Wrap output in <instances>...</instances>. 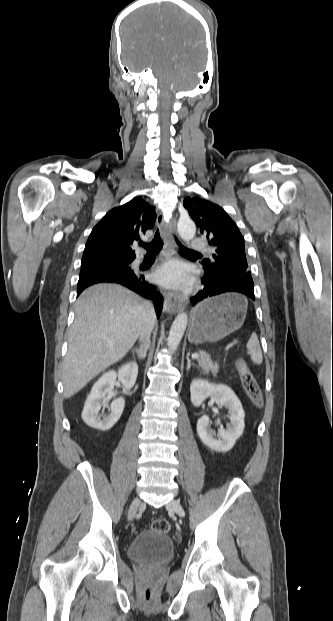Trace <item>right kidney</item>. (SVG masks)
I'll return each instance as SVG.
<instances>
[{"mask_svg": "<svg viewBox=\"0 0 333 621\" xmlns=\"http://www.w3.org/2000/svg\"><path fill=\"white\" fill-rule=\"evenodd\" d=\"M137 375L138 365L135 362L124 364L118 372L110 370L104 373L93 385L85 401L82 411L83 421L88 426L101 431L111 429L123 413L125 400L122 397L115 399L110 404V413L108 415H101L99 411L105 405L106 395L112 392L117 378L125 388L130 389L134 386Z\"/></svg>", "mask_w": 333, "mask_h": 621, "instance_id": "right-kidney-1", "label": "right kidney"}]
</instances>
